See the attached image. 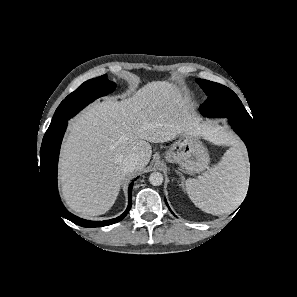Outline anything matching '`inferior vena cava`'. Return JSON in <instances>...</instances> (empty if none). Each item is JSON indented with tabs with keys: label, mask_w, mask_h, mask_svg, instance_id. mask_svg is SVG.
<instances>
[{
	"label": "inferior vena cava",
	"mask_w": 297,
	"mask_h": 297,
	"mask_svg": "<svg viewBox=\"0 0 297 297\" xmlns=\"http://www.w3.org/2000/svg\"><path fill=\"white\" fill-rule=\"evenodd\" d=\"M139 164V158L138 156L131 155L128 158H126L123 162V170L125 173H130L135 170L137 165Z\"/></svg>",
	"instance_id": "inferior-vena-cava-1"
}]
</instances>
